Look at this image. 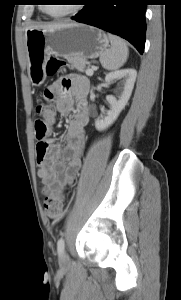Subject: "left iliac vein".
Wrapping results in <instances>:
<instances>
[{"mask_svg": "<svg viewBox=\"0 0 181 300\" xmlns=\"http://www.w3.org/2000/svg\"><path fill=\"white\" fill-rule=\"evenodd\" d=\"M59 264L61 267H67L70 264L69 255L66 252H63L59 258Z\"/></svg>", "mask_w": 181, "mask_h": 300, "instance_id": "obj_1", "label": "left iliac vein"}]
</instances>
